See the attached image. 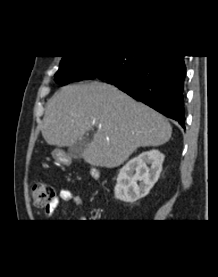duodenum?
<instances>
[{
    "mask_svg": "<svg viewBox=\"0 0 218 277\" xmlns=\"http://www.w3.org/2000/svg\"><path fill=\"white\" fill-rule=\"evenodd\" d=\"M92 175L93 177H98V171L96 169H93Z\"/></svg>",
    "mask_w": 218,
    "mask_h": 277,
    "instance_id": "410a0bca",
    "label": "duodenum"
}]
</instances>
